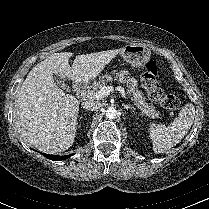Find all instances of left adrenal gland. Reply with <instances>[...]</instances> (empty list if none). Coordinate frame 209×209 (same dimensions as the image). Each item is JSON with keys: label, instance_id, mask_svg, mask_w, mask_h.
Instances as JSON below:
<instances>
[{"label": "left adrenal gland", "instance_id": "obj_1", "mask_svg": "<svg viewBox=\"0 0 209 209\" xmlns=\"http://www.w3.org/2000/svg\"><path fill=\"white\" fill-rule=\"evenodd\" d=\"M123 107H124V109H127V110H134V107H132L130 105L123 104Z\"/></svg>", "mask_w": 209, "mask_h": 209}]
</instances>
